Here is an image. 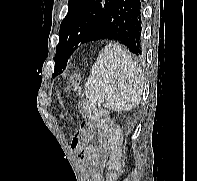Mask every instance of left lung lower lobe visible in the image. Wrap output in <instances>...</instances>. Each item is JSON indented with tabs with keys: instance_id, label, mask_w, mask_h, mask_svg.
<instances>
[{
	"instance_id": "0a47b994",
	"label": "left lung lower lobe",
	"mask_w": 197,
	"mask_h": 181,
	"mask_svg": "<svg viewBox=\"0 0 197 181\" xmlns=\"http://www.w3.org/2000/svg\"><path fill=\"white\" fill-rule=\"evenodd\" d=\"M142 3L141 0H114L101 19L92 40H115L130 52L141 55L142 49Z\"/></svg>"
}]
</instances>
